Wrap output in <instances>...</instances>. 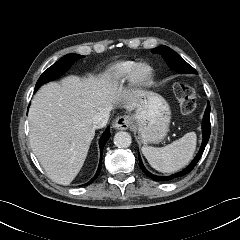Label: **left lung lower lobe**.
I'll return each instance as SVG.
<instances>
[{
    "mask_svg": "<svg viewBox=\"0 0 240 240\" xmlns=\"http://www.w3.org/2000/svg\"><path fill=\"white\" fill-rule=\"evenodd\" d=\"M202 131H203V141H202V145L201 148L197 154V156L194 158V160L190 163L189 166H187L184 170L172 174L170 176H156L153 175L152 173H150L143 165L142 160L139 156V166L141 168V170L151 179H153L154 181H168V180H172L181 176H184L186 174H188L190 171L193 170V168L195 167V165L198 163L199 159L201 158L204 149L206 147V144L209 140L210 137V103L208 102L207 108L205 110V114L203 117V122H202Z\"/></svg>",
    "mask_w": 240,
    "mask_h": 240,
    "instance_id": "1",
    "label": "left lung lower lobe"
}]
</instances>
